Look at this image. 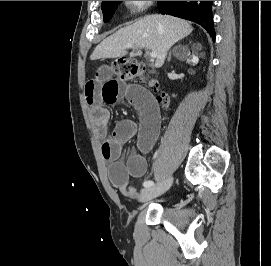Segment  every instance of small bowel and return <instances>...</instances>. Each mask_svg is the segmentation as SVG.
I'll use <instances>...</instances> for the list:
<instances>
[{"label":"small bowel","instance_id":"small-bowel-1","mask_svg":"<svg viewBox=\"0 0 271 266\" xmlns=\"http://www.w3.org/2000/svg\"><path fill=\"white\" fill-rule=\"evenodd\" d=\"M85 98L91 107L95 131L103 138L102 155L111 162L109 176L112 184L124 196L137 199L140 193L130 185L129 178L142 177L146 173L145 154L155 144L160 131L161 117L153 97L139 86L115 78L109 68L101 67L86 82ZM121 100L128 101L138 111L139 121L136 123L130 119L120 120L109 136L110 115L106 106ZM132 138L137 139L138 152L122 161V148Z\"/></svg>","mask_w":271,"mask_h":266}]
</instances>
